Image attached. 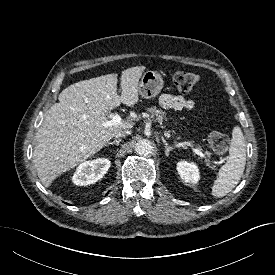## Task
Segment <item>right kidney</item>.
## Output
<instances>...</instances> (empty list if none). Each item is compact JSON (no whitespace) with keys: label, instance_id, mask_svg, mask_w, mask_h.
<instances>
[{"label":"right kidney","instance_id":"obj_1","mask_svg":"<svg viewBox=\"0 0 275 275\" xmlns=\"http://www.w3.org/2000/svg\"><path fill=\"white\" fill-rule=\"evenodd\" d=\"M110 166L111 163L106 158L85 161L77 167L72 177V181L79 186L93 184L107 173Z\"/></svg>","mask_w":275,"mask_h":275}]
</instances>
